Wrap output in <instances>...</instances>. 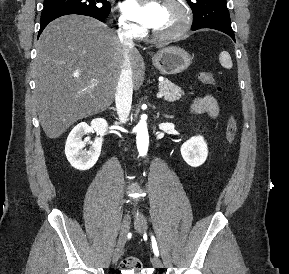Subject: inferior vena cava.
Listing matches in <instances>:
<instances>
[{"label":"inferior vena cava","instance_id":"1","mask_svg":"<svg viewBox=\"0 0 289 274\" xmlns=\"http://www.w3.org/2000/svg\"><path fill=\"white\" fill-rule=\"evenodd\" d=\"M117 33L124 49V59L117 84L115 103L120 122H125L129 116L132 104L133 79L129 58V47L134 44L130 27L121 26Z\"/></svg>","mask_w":289,"mask_h":274}]
</instances>
